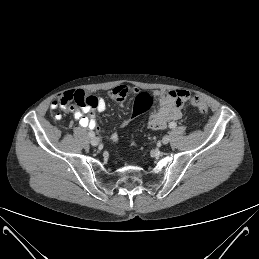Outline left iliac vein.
<instances>
[{
	"label": "left iliac vein",
	"instance_id": "1",
	"mask_svg": "<svg viewBox=\"0 0 259 259\" xmlns=\"http://www.w3.org/2000/svg\"><path fill=\"white\" fill-rule=\"evenodd\" d=\"M170 141V137L168 135H165L163 138H162V143L163 144H168Z\"/></svg>",
	"mask_w": 259,
	"mask_h": 259
}]
</instances>
